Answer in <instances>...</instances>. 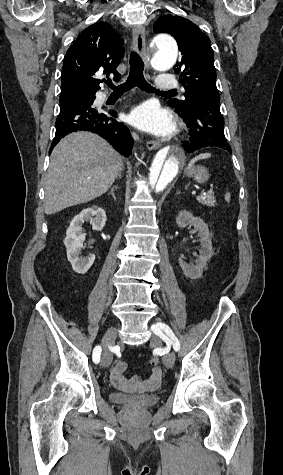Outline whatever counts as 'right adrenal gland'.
<instances>
[{
	"mask_svg": "<svg viewBox=\"0 0 283 475\" xmlns=\"http://www.w3.org/2000/svg\"><path fill=\"white\" fill-rule=\"evenodd\" d=\"M115 190H118V186H113V188H111V192H109V194H111V196H112V198H114V200H116ZM109 194H108V196H109Z\"/></svg>",
	"mask_w": 283,
	"mask_h": 475,
	"instance_id": "1",
	"label": "right adrenal gland"
}]
</instances>
